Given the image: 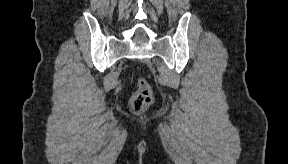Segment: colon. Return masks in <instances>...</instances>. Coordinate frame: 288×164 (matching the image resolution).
I'll list each match as a JSON object with an SVG mask.
<instances>
[{
  "label": "colon",
  "instance_id": "colon-1",
  "mask_svg": "<svg viewBox=\"0 0 288 164\" xmlns=\"http://www.w3.org/2000/svg\"><path fill=\"white\" fill-rule=\"evenodd\" d=\"M152 100V89L144 78L137 80V89L129 99V108L139 114L146 110Z\"/></svg>",
  "mask_w": 288,
  "mask_h": 164
}]
</instances>
